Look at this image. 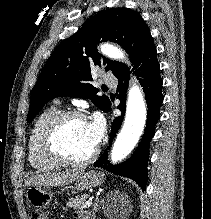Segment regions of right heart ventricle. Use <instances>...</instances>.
Masks as SVG:
<instances>
[{
	"mask_svg": "<svg viewBox=\"0 0 211 219\" xmlns=\"http://www.w3.org/2000/svg\"><path fill=\"white\" fill-rule=\"evenodd\" d=\"M58 112L56 105L45 109L36 119L28 139V161L30 165L39 172H46L54 169L57 164L46 159L39 151L38 138L43 126Z\"/></svg>",
	"mask_w": 211,
	"mask_h": 219,
	"instance_id": "right-heart-ventricle-1",
	"label": "right heart ventricle"
}]
</instances>
